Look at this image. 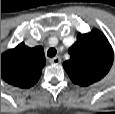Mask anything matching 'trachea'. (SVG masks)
<instances>
[{"label":"trachea","instance_id":"obj_1","mask_svg":"<svg viewBox=\"0 0 115 114\" xmlns=\"http://www.w3.org/2000/svg\"><path fill=\"white\" fill-rule=\"evenodd\" d=\"M56 53H57V51L55 48H50L47 52V56L52 58L56 55Z\"/></svg>","mask_w":115,"mask_h":114}]
</instances>
